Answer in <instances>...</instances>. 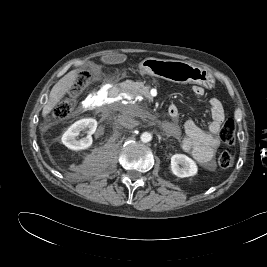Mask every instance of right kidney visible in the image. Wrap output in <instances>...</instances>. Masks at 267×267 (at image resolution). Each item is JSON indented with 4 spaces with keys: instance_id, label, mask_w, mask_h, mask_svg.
Segmentation results:
<instances>
[{
    "instance_id": "1",
    "label": "right kidney",
    "mask_w": 267,
    "mask_h": 267,
    "mask_svg": "<svg viewBox=\"0 0 267 267\" xmlns=\"http://www.w3.org/2000/svg\"><path fill=\"white\" fill-rule=\"evenodd\" d=\"M86 128L89 129V135L80 140H77L76 137L79 133ZM97 128V121L93 118H85L76 121L72 124L67 131L62 136V143L71 150H84L89 148L92 145L91 135L95 132Z\"/></svg>"
}]
</instances>
